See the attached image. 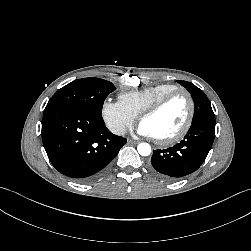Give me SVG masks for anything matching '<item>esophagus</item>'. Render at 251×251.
<instances>
[{"label": "esophagus", "mask_w": 251, "mask_h": 251, "mask_svg": "<svg viewBox=\"0 0 251 251\" xmlns=\"http://www.w3.org/2000/svg\"><path fill=\"white\" fill-rule=\"evenodd\" d=\"M127 142L130 144H138L139 143L138 140H133V139H128Z\"/></svg>", "instance_id": "34e87169"}]
</instances>
